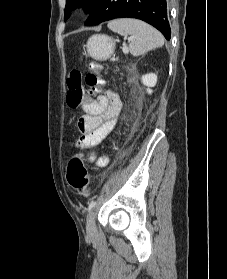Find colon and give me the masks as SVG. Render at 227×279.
<instances>
[{
  "label": "colon",
  "mask_w": 227,
  "mask_h": 279,
  "mask_svg": "<svg viewBox=\"0 0 227 279\" xmlns=\"http://www.w3.org/2000/svg\"><path fill=\"white\" fill-rule=\"evenodd\" d=\"M83 80L86 84L84 89ZM103 78L98 70V63L95 60L89 62V72L82 77L79 71H71L68 75L67 85L69 92L66 102L70 108H77L81 102L99 93ZM67 180L69 184L81 195L89 193V178L87 168L80 156H74L68 164Z\"/></svg>",
  "instance_id": "5ec220e1"
}]
</instances>
